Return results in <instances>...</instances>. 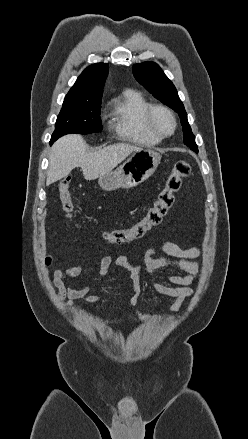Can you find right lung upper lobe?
Instances as JSON below:
<instances>
[{
    "mask_svg": "<svg viewBox=\"0 0 248 439\" xmlns=\"http://www.w3.org/2000/svg\"><path fill=\"white\" fill-rule=\"evenodd\" d=\"M107 75L108 65L105 63L88 66L78 77L64 100L88 102L101 100Z\"/></svg>",
    "mask_w": 248,
    "mask_h": 439,
    "instance_id": "right-lung-upper-lobe-1",
    "label": "right lung upper lobe"
}]
</instances>
